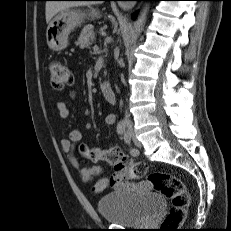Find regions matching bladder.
<instances>
[{"label":"bladder","instance_id":"31cf9c89","mask_svg":"<svg viewBox=\"0 0 231 231\" xmlns=\"http://www.w3.org/2000/svg\"><path fill=\"white\" fill-rule=\"evenodd\" d=\"M165 208V199L157 193L112 192L97 203V209L105 221L122 226L144 225Z\"/></svg>","mask_w":231,"mask_h":231}]
</instances>
